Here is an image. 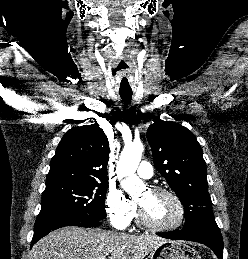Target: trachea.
I'll use <instances>...</instances> for the list:
<instances>
[{"label":"trachea","instance_id":"obj_1","mask_svg":"<svg viewBox=\"0 0 248 259\" xmlns=\"http://www.w3.org/2000/svg\"><path fill=\"white\" fill-rule=\"evenodd\" d=\"M120 97L124 101V103L127 105L130 103V101L132 99V92L120 93Z\"/></svg>","mask_w":248,"mask_h":259}]
</instances>
